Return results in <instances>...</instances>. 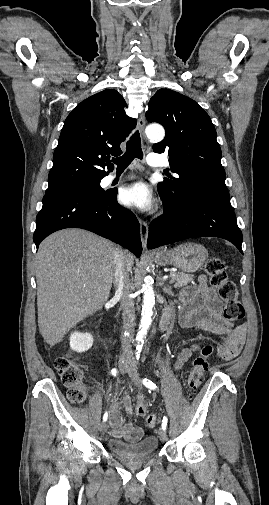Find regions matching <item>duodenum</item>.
<instances>
[{"label": "duodenum", "instance_id": "410a0bca", "mask_svg": "<svg viewBox=\"0 0 269 505\" xmlns=\"http://www.w3.org/2000/svg\"><path fill=\"white\" fill-rule=\"evenodd\" d=\"M170 320H171L170 313L169 312H165L163 314V316H162V319H161V327H162V329L166 330L169 327Z\"/></svg>", "mask_w": 269, "mask_h": 505}]
</instances>
